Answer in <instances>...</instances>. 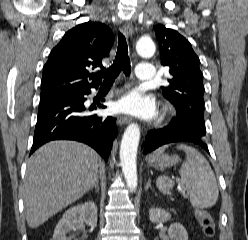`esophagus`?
I'll return each instance as SVG.
<instances>
[{"label":"esophagus","instance_id":"esophagus-1","mask_svg":"<svg viewBox=\"0 0 248 240\" xmlns=\"http://www.w3.org/2000/svg\"><path fill=\"white\" fill-rule=\"evenodd\" d=\"M122 31L128 38L132 37V35H133V26H132V23L129 20L124 22L123 27H122ZM130 121H131L130 118L126 117V116L117 117V123L120 126L130 123Z\"/></svg>","mask_w":248,"mask_h":240}]
</instances>
